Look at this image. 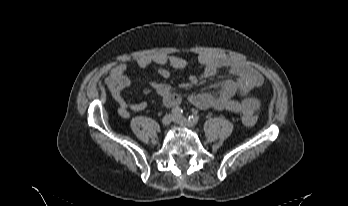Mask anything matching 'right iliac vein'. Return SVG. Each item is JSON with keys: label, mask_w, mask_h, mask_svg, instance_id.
I'll return each mask as SVG.
<instances>
[{"label": "right iliac vein", "mask_w": 348, "mask_h": 206, "mask_svg": "<svg viewBox=\"0 0 348 206\" xmlns=\"http://www.w3.org/2000/svg\"><path fill=\"white\" fill-rule=\"evenodd\" d=\"M172 120H173L172 115L167 114V115H165V116L163 117L162 123H163V125L167 126V125H169V124L172 122Z\"/></svg>", "instance_id": "63e3f726"}]
</instances>
